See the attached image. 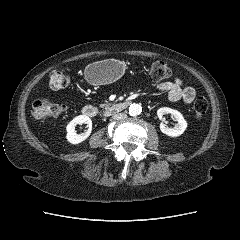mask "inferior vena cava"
<instances>
[{
  "label": "inferior vena cava",
  "instance_id": "obj_1",
  "mask_svg": "<svg viewBox=\"0 0 240 240\" xmlns=\"http://www.w3.org/2000/svg\"><path fill=\"white\" fill-rule=\"evenodd\" d=\"M126 116L127 115L125 113H115V114H113L112 118L114 120H121V119H125Z\"/></svg>",
  "mask_w": 240,
  "mask_h": 240
}]
</instances>
